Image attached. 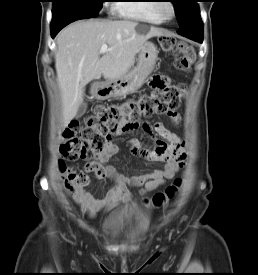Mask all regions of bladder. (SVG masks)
Instances as JSON below:
<instances>
[{"label": "bladder", "instance_id": "1", "mask_svg": "<svg viewBox=\"0 0 258 275\" xmlns=\"http://www.w3.org/2000/svg\"><path fill=\"white\" fill-rule=\"evenodd\" d=\"M147 215L137 207L124 206L112 212L103 222L102 229L112 237L126 238L139 234L147 227Z\"/></svg>", "mask_w": 258, "mask_h": 275}]
</instances>
